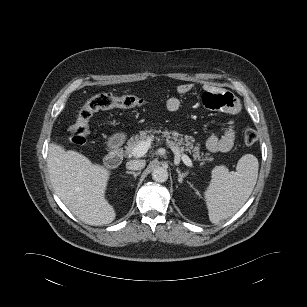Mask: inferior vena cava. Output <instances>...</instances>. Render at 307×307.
<instances>
[{
	"mask_svg": "<svg viewBox=\"0 0 307 307\" xmlns=\"http://www.w3.org/2000/svg\"><path fill=\"white\" fill-rule=\"evenodd\" d=\"M145 165V160H130L126 163V168L129 170H141Z\"/></svg>",
	"mask_w": 307,
	"mask_h": 307,
	"instance_id": "1",
	"label": "inferior vena cava"
}]
</instances>
